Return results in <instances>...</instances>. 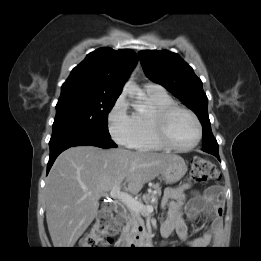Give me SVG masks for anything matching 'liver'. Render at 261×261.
Returning a JSON list of instances; mask_svg holds the SVG:
<instances>
[{"instance_id": "obj_1", "label": "liver", "mask_w": 261, "mask_h": 261, "mask_svg": "<svg viewBox=\"0 0 261 261\" xmlns=\"http://www.w3.org/2000/svg\"><path fill=\"white\" fill-rule=\"evenodd\" d=\"M176 155L76 146L54 162L45 186L46 220L55 248H72L92 223L99 198L127 183L131 194L154 180Z\"/></svg>"}]
</instances>
